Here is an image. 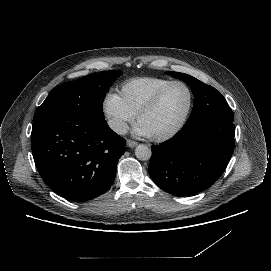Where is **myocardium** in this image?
Returning <instances> with one entry per match:
<instances>
[{
    "label": "myocardium",
    "instance_id": "f54148a6",
    "mask_svg": "<svg viewBox=\"0 0 271 271\" xmlns=\"http://www.w3.org/2000/svg\"><path fill=\"white\" fill-rule=\"evenodd\" d=\"M177 84H182L185 85L190 93V103L188 106V109L184 115V117L182 118V120L180 121V123L173 128L171 131L162 134V135H158V136H150V138L153 141L156 142H166L168 140L173 139L175 136H177L185 127V125L187 124L192 111L194 109L195 106V91L193 89V87L187 83L186 81L183 80H173L171 81L169 84H167L166 86H164L160 91L157 92V94L152 98V100L140 111V113L137 116V120L138 122H141V120L146 117L147 115H149L151 112H153L158 105L160 104L161 100L163 99V97L165 96V94L175 85Z\"/></svg>",
    "mask_w": 271,
    "mask_h": 271
}]
</instances>
